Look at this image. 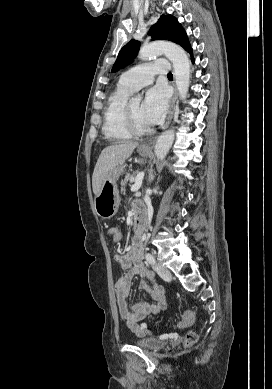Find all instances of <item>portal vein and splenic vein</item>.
<instances>
[{"instance_id": "18ae733b", "label": "portal vein and splenic vein", "mask_w": 272, "mask_h": 389, "mask_svg": "<svg viewBox=\"0 0 272 389\" xmlns=\"http://www.w3.org/2000/svg\"><path fill=\"white\" fill-rule=\"evenodd\" d=\"M144 178V172L139 173L135 178V183L131 187V191L135 192L138 191L142 185V181Z\"/></svg>"}]
</instances>
